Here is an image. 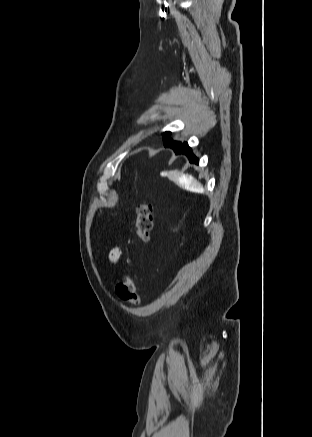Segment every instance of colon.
I'll return each instance as SVG.
<instances>
[{
	"label": "colon",
	"mask_w": 312,
	"mask_h": 437,
	"mask_svg": "<svg viewBox=\"0 0 312 437\" xmlns=\"http://www.w3.org/2000/svg\"><path fill=\"white\" fill-rule=\"evenodd\" d=\"M153 207L149 200L145 199L137 208L136 231L137 237L142 242H148L153 227ZM116 295L132 305L140 303V297L136 290V281L131 275H125L115 288Z\"/></svg>",
	"instance_id": "1"
}]
</instances>
